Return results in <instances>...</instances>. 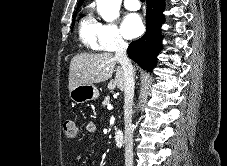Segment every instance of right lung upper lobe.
Masks as SVG:
<instances>
[{
	"instance_id": "right-lung-upper-lobe-1",
	"label": "right lung upper lobe",
	"mask_w": 227,
	"mask_h": 166,
	"mask_svg": "<svg viewBox=\"0 0 227 166\" xmlns=\"http://www.w3.org/2000/svg\"><path fill=\"white\" fill-rule=\"evenodd\" d=\"M84 2V0H79V4L78 5H82Z\"/></svg>"
}]
</instances>
